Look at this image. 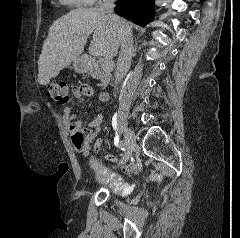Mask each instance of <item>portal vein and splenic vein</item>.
Returning <instances> with one entry per match:
<instances>
[{
  "label": "portal vein and splenic vein",
  "instance_id": "18ae733b",
  "mask_svg": "<svg viewBox=\"0 0 240 238\" xmlns=\"http://www.w3.org/2000/svg\"><path fill=\"white\" fill-rule=\"evenodd\" d=\"M90 53H91V55H94V56L98 55V53L96 51H93V50H90ZM112 65L113 64L111 62L104 61L103 64H102V69L105 70V71L109 70L112 67Z\"/></svg>",
  "mask_w": 240,
  "mask_h": 238
}]
</instances>
